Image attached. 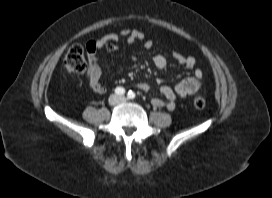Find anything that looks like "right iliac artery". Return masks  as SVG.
I'll return each instance as SVG.
<instances>
[{"label": "right iliac artery", "instance_id": "82829eb1", "mask_svg": "<svg viewBox=\"0 0 272 198\" xmlns=\"http://www.w3.org/2000/svg\"><path fill=\"white\" fill-rule=\"evenodd\" d=\"M115 93H116L117 95H124V94H125V89L122 88V87H117V88L115 89Z\"/></svg>", "mask_w": 272, "mask_h": 198}]
</instances>
